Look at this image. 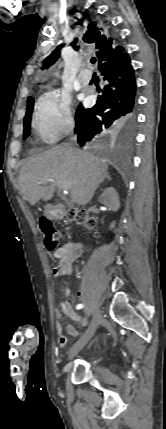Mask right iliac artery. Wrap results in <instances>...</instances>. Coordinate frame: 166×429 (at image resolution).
Masks as SVG:
<instances>
[{
  "label": "right iliac artery",
  "instance_id": "right-iliac-artery-1",
  "mask_svg": "<svg viewBox=\"0 0 166 429\" xmlns=\"http://www.w3.org/2000/svg\"><path fill=\"white\" fill-rule=\"evenodd\" d=\"M81 308H83V304H78V305L76 306V309H81Z\"/></svg>",
  "mask_w": 166,
  "mask_h": 429
}]
</instances>
